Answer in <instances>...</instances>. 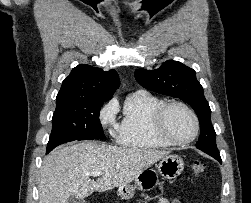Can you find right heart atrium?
<instances>
[{
  "label": "right heart atrium",
  "instance_id": "obj_1",
  "mask_svg": "<svg viewBox=\"0 0 251 203\" xmlns=\"http://www.w3.org/2000/svg\"><path fill=\"white\" fill-rule=\"evenodd\" d=\"M116 112L117 103L111 100L101 111L100 119L104 127H107L110 131L116 128Z\"/></svg>",
  "mask_w": 251,
  "mask_h": 203
}]
</instances>
